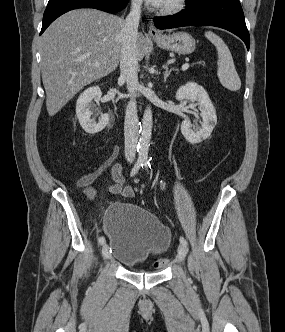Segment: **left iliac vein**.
Masks as SVG:
<instances>
[{
	"mask_svg": "<svg viewBox=\"0 0 285 332\" xmlns=\"http://www.w3.org/2000/svg\"><path fill=\"white\" fill-rule=\"evenodd\" d=\"M186 253H187L186 248H185L182 244H180V245L178 246L177 259H178L179 261H184V259H185V257H186Z\"/></svg>",
	"mask_w": 285,
	"mask_h": 332,
	"instance_id": "1",
	"label": "left iliac vein"
}]
</instances>
